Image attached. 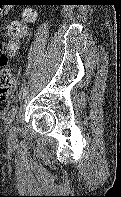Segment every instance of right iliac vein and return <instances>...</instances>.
<instances>
[{
    "instance_id": "right-iliac-vein-1",
    "label": "right iliac vein",
    "mask_w": 121,
    "mask_h": 197,
    "mask_svg": "<svg viewBox=\"0 0 121 197\" xmlns=\"http://www.w3.org/2000/svg\"><path fill=\"white\" fill-rule=\"evenodd\" d=\"M8 142L11 146L16 145L17 143V136H16V126L12 124L9 129L8 133Z\"/></svg>"
}]
</instances>
